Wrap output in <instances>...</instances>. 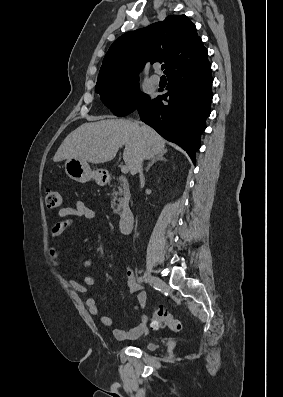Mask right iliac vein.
<instances>
[{
    "label": "right iliac vein",
    "instance_id": "63e3f726",
    "mask_svg": "<svg viewBox=\"0 0 283 397\" xmlns=\"http://www.w3.org/2000/svg\"><path fill=\"white\" fill-rule=\"evenodd\" d=\"M153 280H154V278H153L152 274L147 270L145 272V281H146V283H150Z\"/></svg>",
    "mask_w": 283,
    "mask_h": 397
}]
</instances>
